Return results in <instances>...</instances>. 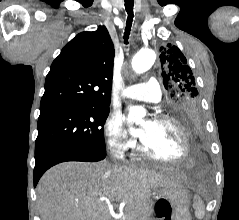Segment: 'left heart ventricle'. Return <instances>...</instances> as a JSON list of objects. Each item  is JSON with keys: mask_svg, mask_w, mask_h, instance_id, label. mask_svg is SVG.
I'll return each instance as SVG.
<instances>
[{"mask_svg": "<svg viewBox=\"0 0 239 220\" xmlns=\"http://www.w3.org/2000/svg\"><path fill=\"white\" fill-rule=\"evenodd\" d=\"M141 126L146 133L142 142L153 154L167 159H175L182 154L183 140L176 126L154 120H144Z\"/></svg>", "mask_w": 239, "mask_h": 220, "instance_id": "obj_1", "label": "left heart ventricle"}]
</instances>
